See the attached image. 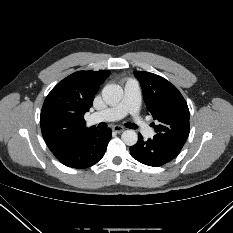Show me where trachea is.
Wrapping results in <instances>:
<instances>
[{
	"instance_id": "3493384b",
	"label": "trachea",
	"mask_w": 233,
	"mask_h": 233,
	"mask_svg": "<svg viewBox=\"0 0 233 233\" xmlns=\"http://www.w3.org/2000/svg\"><path fill=\"white\" fill-rule=\"evenodd\" d=\"M126 127L130 128V129H136L137 128V126L134 123H127Z\"/></svg>"
}]
</instances>
